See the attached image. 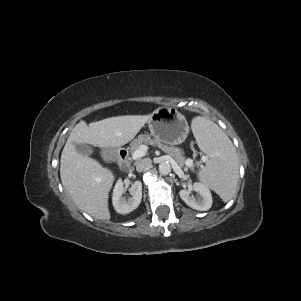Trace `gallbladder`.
<instances>
[{
	"label": "gallbladder",
	"instance_id": "gallbladder-1",
	"mask_svg": "<svg viewBox=\"0 0 301 301\" xmlns=\"http://www.w3.org/2000/svg\"><path fill=\"white\" fill-rule=\"evenodd\" d=\"M76 151L83 156H90L92 154L91 148L86 144H75Z\"/></svg>",
	"mask_w": 301,
	"mask_h": 301
}]
</instances>
